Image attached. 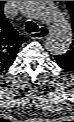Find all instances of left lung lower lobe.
I'll return each mask as SVG.
<instances>
[{
	"label": "left lung lower lobe",
	"mask_w": 74,
	"mask_h": 122,
	"mask_svg": "<svg viewBox=\"0 0 74 122\" xmlns=\"http://www.w3.org/2000/svg\"><path fill=\"white\" fill-rule=\"evenodd\" d=\"M57 65L65 71L74 72V64L62 59L60 56H55Z\"/></svg>",
	"instance_id": "left-lung-lower-lobe-1"
}]
</instances>
